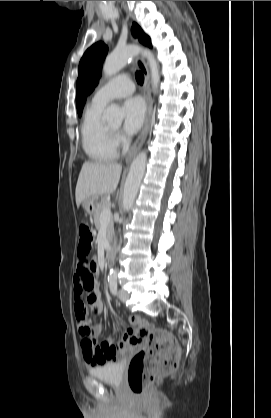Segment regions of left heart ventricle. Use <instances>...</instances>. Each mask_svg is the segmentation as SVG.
<instances>
[{
    "instance_id": "obj_1",
    "label": "left heart ventricle",
    "mask_w": 271,
    "mask_h": 418,
    "mask_svg": "<svg viewBox=\"0 0 271 418\" xmlns=\"http://www.w3.org/2000/svg\"><path fill=\"white\" fill-rule=\"evenodd\" d=\"M111 128H112L113 130H118L119 125H113V126H111Z\"/></svg>"
}]
</instances>
